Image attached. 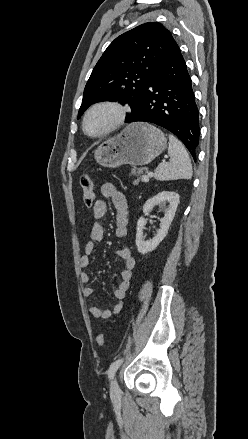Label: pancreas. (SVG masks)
<instances>
[{"mask_svg": "<svg viewBox=\"0 0 248 439\" xmlns=\"http://www.w3.org/2000/svg\"><path fill=\"white\" fill-rule=\"evenodd\" d=\"M144 172H145V169H144V168H134V169H132L131 173H132L133 175H135V176L138 177V179L134 181V184H135V185L138 184V182L140 181V179L143 178V174H144Z\"/></svg>", "mask_w": 248, "mask_h": 439, "instance_id": "pancreas-1", "label": "pancreas"}]
</instances>
